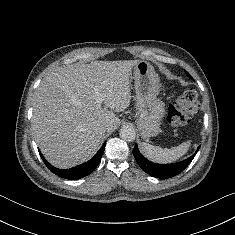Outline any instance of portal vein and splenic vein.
Here are the masks:
<instances>
[{
  "instance_id": "portal-vein-and-splenic-vein-1",
  "label": "portal vein and splenic vein",
  "mask_w": 235,
  "mask_h": 235,
  "mask_svg": "<svg viewBox=\"0 0 235 235\" xmlns=\"http://www.w3.org/2000/svg\"><path fill=\"white\" fill-rule=\"evenodd\" d=\"M96 92H95V95H96V101H97V103H101L102 101H103V97H102V95L100 94V92L98 91V89L96 88V90H95Z\"/></svg>"
}]
</instances>
